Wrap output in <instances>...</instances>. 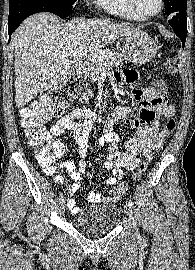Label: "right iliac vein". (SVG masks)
Here are the masks:
<instances>
[{
    "label": "right iliac vein",
    "instance_id": "63e3f726",
    "mask_svg": "<svg viewBox=\"0 0 195 270\" xmlns=\"http://www.w3.org/2000/svg\"><path fill=\"white\" fill-rule=\"evenodd\" d=\"M66 202L64 199L60 200L59 202V213L62 214L65 210Z\"/></svg>",
    "mask_w": 195,
    "mask_h": 270
}]
</instances>
